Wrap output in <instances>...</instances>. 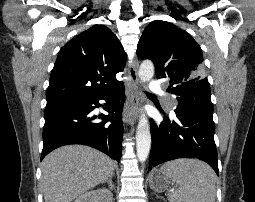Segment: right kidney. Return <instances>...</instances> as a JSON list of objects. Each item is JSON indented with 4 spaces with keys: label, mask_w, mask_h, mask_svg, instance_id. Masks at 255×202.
<instances>
[{
    "label": "right kidney",
    "mask_w": 255,
    "mask_h": 202,
    "mask_svg": "<svg viewBox=\"0 0 255 202\" xmlns=\"http://www.w3.org/2000/svg\"><path fill=\"white\" fill-rule=\"evenodd\" d=\"M113 196L107 189L89 191L80 195L74 202H112Z\"/></svg>",
    "instance_id": "obj_1"
}]
</instances>
